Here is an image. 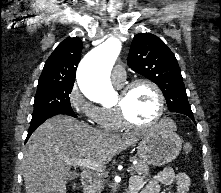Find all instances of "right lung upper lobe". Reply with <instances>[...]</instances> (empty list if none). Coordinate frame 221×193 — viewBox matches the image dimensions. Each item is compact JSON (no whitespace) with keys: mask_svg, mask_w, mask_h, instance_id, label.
Returning a JSON list of instances; mask_svg holds the SVG:
<instances>
[{"mask_svg":"<svg viewBox=\"0 0 221 193\" xmlns=\"http://www.w3.org/2000/svg\"><path fill=\"white\" fill-rule=\"evenodd\" d=\"M81 51L80 38L69 37L62 41L47 59L38 86L74 84Z\"/></svg>","mask_w":221,"mask_h":193,"instance_id":"cb5924a9","label":"right lung upper lobe"}]
</instances>
